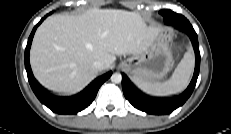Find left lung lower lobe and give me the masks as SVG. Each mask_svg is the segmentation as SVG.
Here are the masks:
<instances>
[{
  "instance_id": "0a47b994",
  "label": "left lung lower lobe",
  "mask_w": 231,
  "mask_h": 134,
  "mask_svg": "<svg viewBox=\"0 0 231 134\" xmlns=\"http://www.w3.org/2000/svg\"><path fill=\"white\" fill-rule=\"evenodd\" d=\"M169 23L167 24H174L175 26L184 30L190 37L196 54V64L194 75L189 84L188 88L179 96L163 100L157 101L153 99L146 98L139 94L132 86L133 84L128 79L126 75L122 76V89L125 98L137 109L142 110L149 114L155 115H162V114H169L173 112L176 108L180 107L185 103V101L190 97L192 94L194 87L196 85V81L199 75V68H200V52H199V45H198V38L195 30L193 29L192 25L189 21L182 15L172 12V15L169 16Z\"/></svg>"
}]
</instances>
